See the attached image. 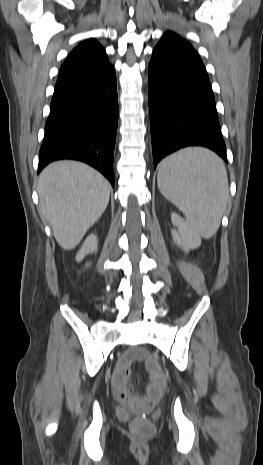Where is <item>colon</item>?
Masks as SVG:
<instances>
[{"mask_svg": "<svg viewBox=\"0 0 263 465\" xmlns=\"http://www.w3.org/2000/svg\"><path fill=\"white\" fill-rule=\"evenodd\" d=\"M162 387L157 385L148 386V397H138L131 401L132 409L138 414L132 421L131 426L139 434H148L152 431V424L144 417L143 413L151 411L154 401L161 394Z\"/></svg>", "mask_w": 263, "mask_h": 465, "instance_id": "obj_1", "label": "colon"}]
</instances>
